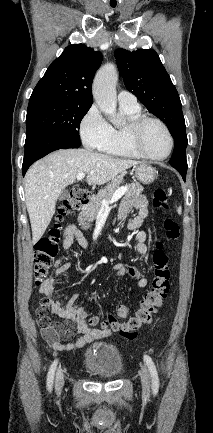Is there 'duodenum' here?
Here are the masks:
<instances>
[{
  "instance_id": "duodenum-1",
  "label": "duodenum",
  "mask_w": 213,
  "mask_h": 433,
  "mask_svg": "<svg viewBox=\"0 0 213 433\" xmlns=\"http://www.w3.org/2000/svg\"><path fill=\"white\" fill-rule=\"evenodd\" d=\"M89 197H88V199L85 202H83V204H82L83 206H85L89 202Z\"/></svg>"
}]
</instances>
